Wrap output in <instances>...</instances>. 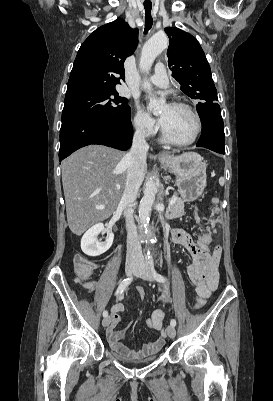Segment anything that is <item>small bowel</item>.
Here are the masks:
<instances>
[{"mask_svg":"<svg viewBox=\"0 0 273 401\" xmlns=\"http://www.w3.org/2000/svg\"><path fill=\"white\" fill-rule=\"evenodd\" d=\"M204 221V218H201ZM212 224H218L220 218L218 215H211L209 218ZM174 237L191 253L193 260L188 266V271H204L205 275L208 276L207 284H193L195 286V296L196 304L195 308L202 307L206 300L212 295V293L217 289L219 282L218 265L221 257V248L216 246L210 249V244L215 239V234L213 231L207 229V231L201 235L197 241H194L190 234L186 233L183 228H174L172 231ZM84 282L85 280H78ZM86 289H93V283H84ZM137 293V291H136ZM139 294V293H137ZM91 297L97 299L99 304H108L110 302V297L104 295L102 290H93L91 292ZM125 306L122 302L116 303L110 309V322L107 328L108 342L111 348L117 353L124 356H150L158 352L162 347L164 340L167 339L166 333H161L160 338L154 342L147 343L142 350L135 352L129 351L121 342V339L126 335V331L129 327L125 329H118L120 322L122 321V313ZM165 318V311L161 308L156 309L151 317L147 320V326L154 331H161L163 328V322Z\"/></svg>","mask_w":273,"mask_h":401,"instance_id":"1","label":"small bowel"}]
</instances>
